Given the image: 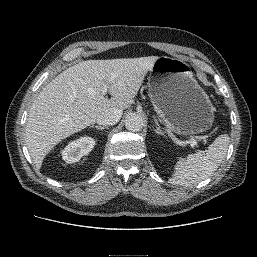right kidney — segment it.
<instances>
[{"label": "right kidney", "mask_w": 257, "mask_h": 257, "mask_svg": "<svg viewBox=\"0 0 257 257\" xmlns=\"http://www.w3.org/2000/svg\"><path fill=\"white\" fill-rule=\"evenodd\" d=\"M95 146V140L89 136L81 137L70 142L62 151V159L71 164L78 162L87 155Z\"/></svg>", "instance_id": "1"}]
</instances>
